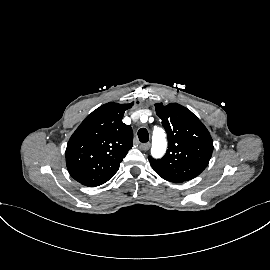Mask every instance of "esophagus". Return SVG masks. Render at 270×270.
<instances>
[{
  "mask_svg": "<svg viewBox=\"0 0 270 270\" xmlns=\"http://www.w3.org/2000/svg\"><path fill=\"white\" fill-rule=\"evenodd\" d=\"M150 148V143H142L140 144V149L147 151Z\"/></svg>",
  "mask_w": 270,
  "mask_h": 270,
  "instance_id": "1",
  "label": "esophagus"
}]
</instances>
